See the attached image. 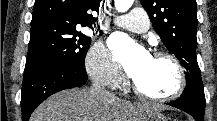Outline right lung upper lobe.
I'll return each instance as SVG.
<instances>
[{
    "mask_svg": "<svg viewBox=\"0 0 217 121\" xmlns=\"http://www.w3.org/2000/svg\"><path fill=\"white\" fill-rule=\"evenodd\" d=\"M100 2L101 0H36L31 25L52 21L90 27L95 18L89 11L98 12Z\"/></svg>",
    "mask_w": 217,
    "mask_h": 121,
    "instance_id": "right-lung-upper-lobe-1",
    "label": "right lung upper lobe"
}]
</instances>
